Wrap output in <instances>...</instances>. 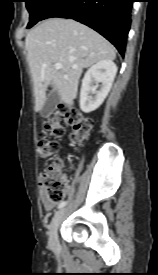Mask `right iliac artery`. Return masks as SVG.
<instances>
[{"instance_id":"82829eb1","label":"right iliac artery","mask_w":158,"mask_h":275,"mask_svg":"<svg viewBox=\"0 0 158 275\" xmlns=\"http://www.w3.org/2000/svg\"><path fill=\"white\" fill-rule=\"evenodd\" d=\"M66 204H67V202H66V201H62V202H60V203L58 204V209L63 208Z\"/></svg>"}]
</instances>
